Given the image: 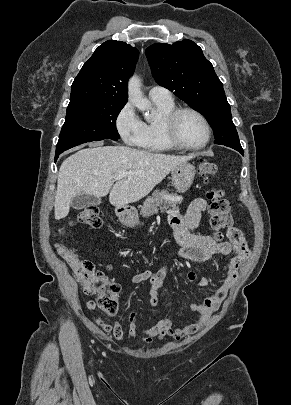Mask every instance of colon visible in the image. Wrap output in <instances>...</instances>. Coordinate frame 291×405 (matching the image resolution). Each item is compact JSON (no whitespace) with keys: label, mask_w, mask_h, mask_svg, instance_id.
I'll list each match as a JSON object with an SVG mask.
<instances>
[{"label":"colon","mask_w":291,"mask_h":405,"mask_svg":"<svg viewBox=\"0 0 291 405\" xmlns=\"http://www.w3.org/2000/svg\"><path fill=\"white\" fill-rule=\"evenodd\" d=\"M198 171L200 175L210 178L216 176L217 167L208 160L201 159L198 162ZM208 198L211 225L216 231L215 238L221 240L223 231L231 224L230 204L221 189H212ZM74 223L97 229L102 225V220L95 207H88L76 216ZM57 250L72 269L76 280L83 286L85 294L97 296L99 308L109 315L115 314L118 308L119 285L96 270L92 262L81 259L74 250L64 244H58ZM189 277L193 278V275L190 274Z\"/></svg>","instance_id":"5ec220e1"}]
</instances>
